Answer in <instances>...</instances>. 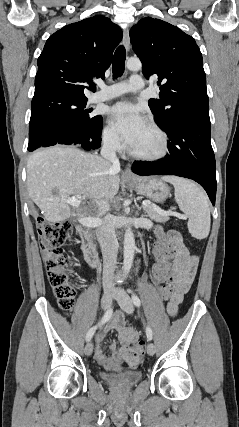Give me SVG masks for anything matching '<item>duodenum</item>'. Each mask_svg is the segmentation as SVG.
I'll use <instances>...</instances> for the list:
<instances>
[{
  "mask_svg": "<svg viewBox=\"0 0 239 427\" xmlns=\"http://www.w3.org/2000/svg\"><path fill=\"white\" fill-rule=\"evenodd\" d=\"M77 233L86 261L91 267L96 268L99 264V255L89 231L80 226L77 228Z\"/></svg>",
  "mask_w": 239,
  "mask_h": 427,
  "instance_id": "410a0bca",
  "label": "duodenum"
}]
</instances>
